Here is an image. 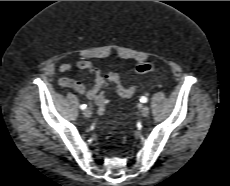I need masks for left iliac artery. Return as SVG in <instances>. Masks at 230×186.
Wrapping results in <instances>:
<instances>
[{"label": "left iliac artery", "instance_id": "1", "mask_svg": "<svg viewBox=\"0 0 230 186\" xmlns=\"http://www.w3.org/2000/svg\"><path fill=\"white\" fill-rule=\"evenodd\" d=\"M140 101L145 103V102H147V98L144 97V96H142V97L140 98Z\"/></svg>", "mask_w": 230, "mask_h": 186}]
</instances>
